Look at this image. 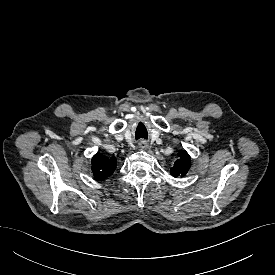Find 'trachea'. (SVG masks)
<instances>
[{
  "instance_id": "1",
  "label": "trachea",
  "mask_w": 275,
  "mask_h": 275,
  "mask_svg": "<svg viewBox=\"0 0 275 275\" xmlns=\"http://www.w3.org/2000/svg\"><path fill=\"white\" fill-rule=\"evenodd\" d=\"M135 137H136V139H139V138L147 139V133L146 132H136Z\"/></svg>"
}]
</instances>
